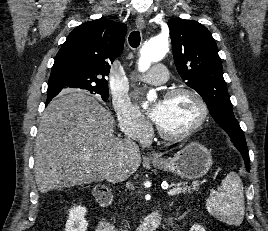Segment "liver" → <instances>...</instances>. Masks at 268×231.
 Segmentation results:
<instances>
[{
	"mask_svg": "<svg viewBox=\"0 0 268 231\" xmlns=\"http://www.w3.org/2000/svg\"><path fill=\"white\" fill-rule=\"evenodd\" d=\"M114 125L111 113L81 90H67L53 100L35 142L38 190L130 177L141 164L139 148L115 137Z\"/></svg>",
	"mask_w": 268,
	"mask_h": 231,
	"instance_id": "obj_1",
	"label": "liver"
}]
</instances>
